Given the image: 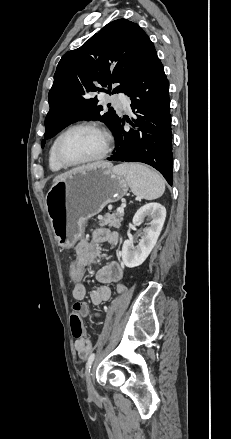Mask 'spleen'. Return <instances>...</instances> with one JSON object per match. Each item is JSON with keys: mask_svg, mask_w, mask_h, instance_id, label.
Segmentation results:
<instances>
[{"mask_svg": "<svg viewBox=\"0 0 231 439\" xmlns=\"http://www.w3.org/2000/svg\"><path fill=\"white\" fill-rule=\"evenodd\" d=\"M114 171L122 174L131 191L145 200H154L162 196L165 191L163 178L154 170L138 164L123 163L114 167Z\"/></svg>", "mask_w": 231, "mask_h": 439, "instance_id": "1", "label": "spleen"}]
</instances>
